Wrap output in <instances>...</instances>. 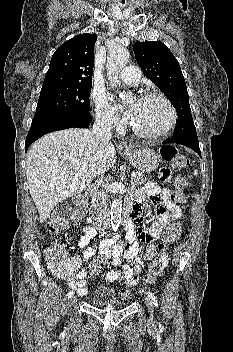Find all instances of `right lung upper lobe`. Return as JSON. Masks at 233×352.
<instances>
[{
	"mask_svg": "<svg viewBox=\"0 0 233 352\" xmlns=\"http://www.w3.org/2000/svg\"><path fill=\"white\" fill-rule=\"evenodd\" d=\"M95 34H81L53 54L42 87L92 85Z\"/></svg>",
	"mask_w": 233,
	"mask_h": 352,
	"instance_id": "cb5924a9",
	"label": "right lung upper lobe"
}]
</instances>
